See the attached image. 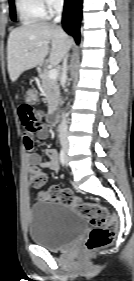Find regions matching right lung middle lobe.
<instances>
[{
  "label": "right lung middle lobe",
  "instance_id": "dd1d6c3e",
  "mask_svg": "<svg viewBox=\"0 0 134 281\" xmlns=\"http://www.w3.org/2000/svg\"><path fill=\"white\" fill-rule=\"evenodd\" d=\"M9 5H10L11 19H12V21H15L16 20V11H15L13 0H9Z\"/></svg>",
  "mask_w": 134,
  "mask_h": 281
}]
</instances>
